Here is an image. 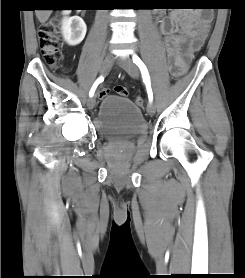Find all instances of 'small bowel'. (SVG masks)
Listing matches in <instances>:
<instances>
[{
  "instance_id": "c3829d8e",
  "label": "small bowel",
  "mask_w": 245,
  "mask_h": 278,
  "mask_svg": "<svg viewBox=\"0 0 245 278\" xmlns=\"http://www.w3.org/2000/svg\"><path fill=\"white\" fill-rule=\"evenodd\" d=\"M207 14L201 11L173 12L158 25L171 66L184 72L188 62L205 43L209 29L202 25ZM102 95L101 98L106 97Z\"/></svg>"
}]
</instances>
